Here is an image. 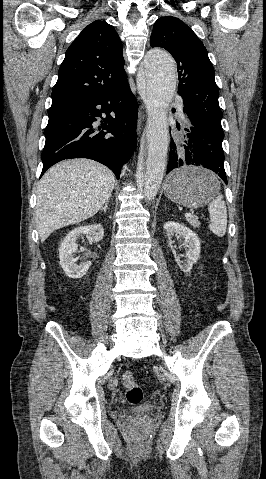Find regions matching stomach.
<instances>
[{
  "label": "stomach",
  "instance_id": "stomach-1",
  "mask_svg": "<svg viewBox=\"0 0 266 479\" xmlns=\"http://www.w3.org/2000/svg\"><path fill=\"white\" fill-rule=\"evenodd\" d=\"M215 175L197 166H184L171 172L164 184V193L171 201L187 208H200L219 192Z\"/></svg>",
  "mask_w": 266,
  "mask_h": 479
}]
</instances>
